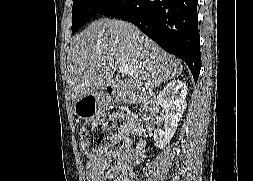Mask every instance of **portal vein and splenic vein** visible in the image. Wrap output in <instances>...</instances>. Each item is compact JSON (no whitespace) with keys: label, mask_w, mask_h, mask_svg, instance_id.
<instances>
[{"label":"portal vein and splenic vein","mask_w":253,"mask_h":181,"mask_svg":"<svg viewBox=\"0 0 253 181\" xmlns=\"http://www.w3.org/2000/svg\"><path fill=\"white\" fill-rule=\"evenodd\" d=\"M119 71L122 75H133L134 69L132 65L123 64L119 67Z\"/></svg>","instance_id":"portal-vein-and-splenic-vein-1"}]
</instances>
